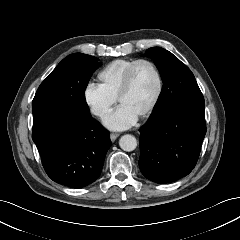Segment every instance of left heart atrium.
Wrapping results in <instances>:
<instances>
[{"label":"left heart atrium","instance_id":"left-heart-atrium-1","mask_svg":"<svg viewBox=\"0 0 240 240\" xmlns=\"http://www.w3.org/2000/svg\"><path fill=\"white\" fill-rule=\"evenodd\" d=\"M137 118L128 108L120 105L104 119V124L112 130H124L133 126Z\"/></svg>","mask_w":240,"mask_h":240}]
</instances>
